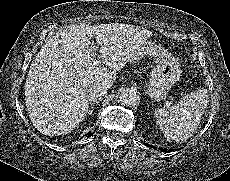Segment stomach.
Wrapping results in <instances>:
<instances>
[{"mask_svg":"<svg viewBox=\"0 0 230 181\" xmlns=\"http://www.w3.org/2000/svg\"><path fill=\"white\" fill-rule=\"evenodd\" d=\"M179 65L176 59L166 51L158 54L156 67L151 72V78L146 86V93L154 100H163L168 91L179 78Z\"/></svg>","mask_w":230,"mask_h":181,"instance_id":"1","label":"stomach"}]
</instances>
